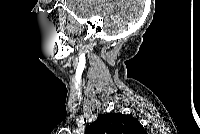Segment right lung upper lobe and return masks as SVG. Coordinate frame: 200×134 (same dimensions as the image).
<instances>
[{"mask_svg":"<svg viewBox=\"0 0 200 134\" xmlns=\"http://www.w3.org/2000/svg\"><path fill=\"white\" fill-rule=\"evenodd\" d=\"M143 126L133 117L122 113L100 114L86 128V134H143Z\"/></svg>","mask_w":200,"mask_h":134,"instance_id":"obj_1","label":"right lung upper lobe"}]
</instances>
